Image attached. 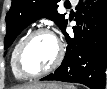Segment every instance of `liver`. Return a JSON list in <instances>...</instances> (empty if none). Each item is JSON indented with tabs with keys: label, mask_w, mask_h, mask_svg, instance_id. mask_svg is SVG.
<instances>
[{
	"label": "liver",
	"mask_w": 107,
	"mask_h": 89,
	"mask_svg": "<svg viewBox=\"0 0 107 89\" xmlns=\"http://www.w3.org/2000/svg\"><path fill=\"white\" fill-rule=\"evenodd\" d=\"M45 85H47V84H45V83L29 84V85L21 86L18 89H32V88L37 87V86L44 87Z\"/></svg>",
	"instance_id": "obj_1"
}]
</instances>
